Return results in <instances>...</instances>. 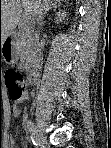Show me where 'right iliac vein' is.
Listing matches in <instances>:
<instances>
[{
	"label": "right iliac vein",
	"mask_w": 111,
	"mask_h": 148,
	"mask_svg": "<svg viewBox=\"0 0 111 148\" xmlns=\"http://www.w3.org/2000/svg\"><path fill=\"white\" fill-rule=\"evenodd\" d=\"M35 130H36L35 138H36L38 144L41 145V144L46 143V138H45V136L43 134L40 123L37 124Z\"/></svg>",
	"instance_id": "obj_1"
}]
</instances>
